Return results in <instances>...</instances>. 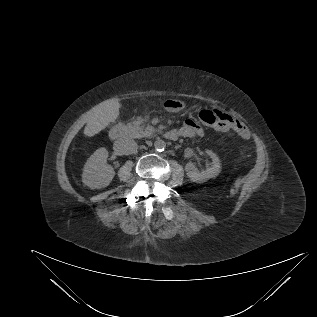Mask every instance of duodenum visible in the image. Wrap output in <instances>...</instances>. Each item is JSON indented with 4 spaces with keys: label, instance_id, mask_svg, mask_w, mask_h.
Returning <instances> with one entry per match:
<instances>
[{
    "label": "duodenum",
    "instance_id": "410a0bca",
    "mask_svg": "<svg viewBox=\"0 0 317 317\" xmlns=\"http://www.w3.org/2000/svg\"><path fill=\"white\" fill-rule=\"evenodd\" d=\"M129 136V130L125 123H119L115 125L110 131V138L114 141L127 138ZM165 137L168 140H175L177 133L175 130H169L165 133Z\"/></svg>",
    "mask_w": 317,
    "mask_h": 317
}]
</instances>
